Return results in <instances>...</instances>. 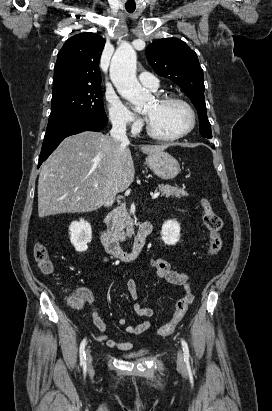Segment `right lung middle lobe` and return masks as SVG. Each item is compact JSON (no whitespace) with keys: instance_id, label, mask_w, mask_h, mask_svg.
<instances>
[{"instance_id":"1","label":"right lung middle lobe","mask_w":272,"mask_h":411,"mask_svg":"<svg viewBox=\"0 0 272 411\" xmlns=\"http://www.w3.org/2000/svg\"><path fill=\"white\" fill-rule=\"evenodd\" d=\"M101 86L70 88L53 94L46 131L77 119L107 121Z\"/></svg>"}]
</instances>
